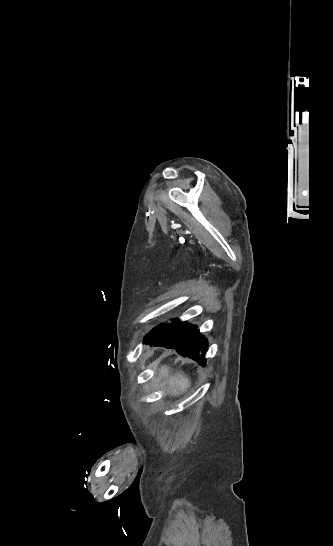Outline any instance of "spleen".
<instances>
[{
    "instance_id": "1",
    "label": "spleen",
    "mask_w": 333,
    "mask_h": 546,
    "mask_svg": "<svg viewBox=\"0 0 333 546\" xmlns=\"http://www.w3.org/2000/svg\"><path fill=\"white\" fill-rule=\"evenodd\" d=\"M159 375H162L164 380H167V393L171 396L180 395L190 387L189 379L183 372H177L174 376H171L168 367L162 366L159 369ZM160 386L162 387L163 383H161Z\"/></svg>"
}]
</instances>
